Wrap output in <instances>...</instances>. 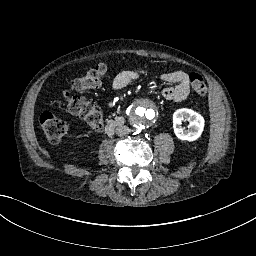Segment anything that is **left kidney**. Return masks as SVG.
<instances>
[{
    "label": "left kidney",
    "mask_w": 256,
    "mask_h": 256,
    "mask_svg": "<svg viewBox=\"0 0 256 256\" xmlns=\"http://www.w3.org/2000/svg\"><path fill=\"white\" fill-rule=\"evenodd\" d=\"M187 118L191 129L184 130L181 126L182 119ZM173 130L176 137L181 141L194 142L200 138L204 131V117L192 109H177L172 116Z\"/></svg>",
    "instance_id": "left-kidney-1"
}]
</instances>
